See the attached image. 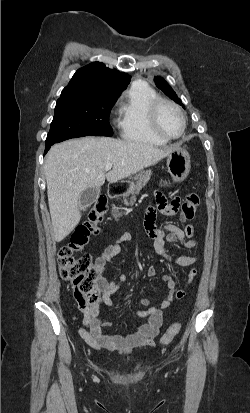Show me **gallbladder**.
Returning a JSON list of instances; mask_svg holds the SVG:
<instances>
[{
    "instance_id": "obj_1",
    "label": "gallbladder",
    "mask_w": 250,
    "mask_h": 413,
    "mask_svg": "<svg viewBox=\"0 0 250 413\" xmlns=\"http://www.w3.org/2000/svg\"><path fill=\"white\" fill-rule=\"evenodd\" d=\"M99 193V188H87L84 190L80 197V208L85 210L87 207L92 205L98 199Z\"/></svg>"
}]
</instances>
